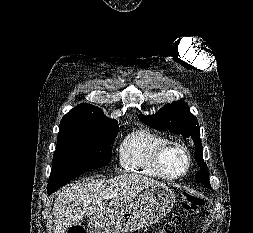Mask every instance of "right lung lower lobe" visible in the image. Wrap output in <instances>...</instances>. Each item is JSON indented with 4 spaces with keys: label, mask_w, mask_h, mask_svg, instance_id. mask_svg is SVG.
Returning a JSON list of instances; mask_svg holds the SVG:
<instances>
[{
    "label": "right lung lower lobe",
    "mask_w": 253,
    "mask_h": 233,
    "mask_svg": "<svg viewBox=\"0 0 253 233\" xmlns=\"http://www.w3.org/2000/svg\"><path fill=\"white\" fill-rule=\"evenodd\" d=\"M86 171H88V170H76V171H72V172L63 174L61 176L49 179V183L47 186V193L52 194L53 192L58 190L60 187H62L66 183H68L70 180L83 174Z\"/></svg>",
    "instance_id": "1"
}]
</instances>
